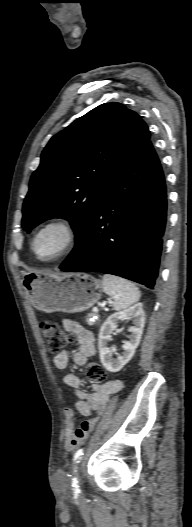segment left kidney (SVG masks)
<instances>
[{"mask_svg":"<svg viewBox=\"0 0 192 527\" xmlns=\"http://www.w3.org/2000/svg\"><path fill=\"white\" fill-rule=\"evenodd\" d=\"M123 319H133L134 325L128 329L131 335L129 341H126L123 344L124 352L116 359H113L112 353L107 347V344L108 341L111 340V334L117 328V324ZM144 325L145 313L141 303H137L128 309L114 313L104 321L99 331L98 349L101 363L106 370L113 373L118 372L132 359L135 350L140 343Z\"/></svg>","mask_w":192,"mask_h":527,"instance_id":"1","label":"left kidney"}]
</instances>
